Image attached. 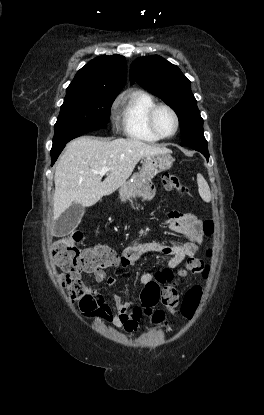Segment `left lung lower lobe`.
<instances>
[{
  "label": "left lung lower lobe",
  "mask_w": 264,
  "mask_h": 415,
  "mask_svg": "<svg viewBox=\"0 0 264 415\" xmlns=\"http://www.w3.org/2000/svg\"><path fill=\"white\" fill-rule=\"evenodd\" d=\"M181 146H188L194 150L201 152L208 161L209 152H208V147H207V141L185 142V143H182Z\"/></svg>",
  "instance_id": "0a47b994"
}]
</instances>
